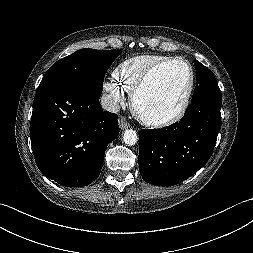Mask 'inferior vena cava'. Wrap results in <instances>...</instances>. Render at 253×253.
<instances>
[{
  "label": "inferior vena cava",
  "instance_id": "inferior-vena-cava-1",
  "mask_svg": "<svg viewBox=\"0 0 253 253\" xmlns=\"http://www.w3.org/2000/svg\"><path fill=\"white\" fill-rule=\"evenodd\" d=\"M101 106L104 110L117 113L120 109L118 101L109 94H103L101 97Z\"/></svg>",
  "mask_w": 253,
  "mask_h": 253
}]
</instances>
